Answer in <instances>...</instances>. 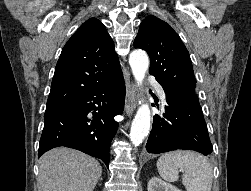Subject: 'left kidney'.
I'll return each instance as SVG.
<instances>
[{"instance_id": "left-kidney-1", "label": "left kidney", "mask_w": 251, "mask_h": 191, "mask_svg": "<svg viewBox=\"0 0 251 191\" xmlns=\"http://www.w3.org/2000/svg\"><path fill=\"white\" fill-rule=\"evenodd\" d=\"M148 191H181L172 183H167V181H163L160 177H151L148 181L147 185Z\"/></svg>"}]
</instances>
